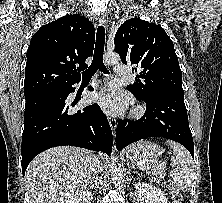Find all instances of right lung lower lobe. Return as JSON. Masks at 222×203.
<instances>
[{
  "label": "right lung lower lobe",
  "instance_id": "1",
  "mask_svg": "<svg viewBox=\"0 0 222 203\" xmlns=\"http://www.w3.org/2000/svg\"><path fill=\"white\" fill-rule=\"evenodd\" d=\"M79 81L60 84L25 96L22 172L39 153L62 145L111 153L113 136L107 117L97 103L82 110L66 99ZM92 91L93 88H90Z\"/></svg>",
  "mask_w": 222,
  "mask_h": 203
}]
</instances>
